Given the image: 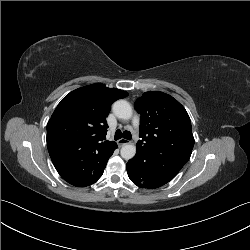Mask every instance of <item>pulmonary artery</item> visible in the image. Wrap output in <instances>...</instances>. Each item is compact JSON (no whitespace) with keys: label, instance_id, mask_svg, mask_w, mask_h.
Listing matches in <instances>:
<instances>
[{"label":"pulmonary artery","instance_id":"e3ab8cb5","mask_svg":"<svg viewBox=\"0 0 250 250\" xmlns=\"http://www.w3.org/2000/svg\"><path fill=\"white\" fill-rule=\"evenodd\" d=\"M133 124L135 125V126H138V124H139V118H138V116H134V118H133Z\"/></svg>","mask_w":250,"mask_h":250}]
</instances>
